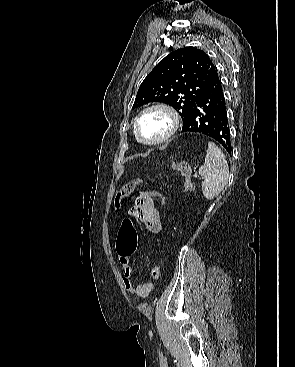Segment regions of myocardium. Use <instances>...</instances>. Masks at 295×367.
I'll return each mask as SVG.
<instances>
[{"instance_id":"f54148a6","label":"myocardium","mask_w":295,"mask_h":367,"mask_svg":"<svg viewBox=\"0 0 295 367\" xmlns=\"http://www.w3.org/2000/svg\"><path fill=\"white\" fill-rule=\"evenodd\" d=\"M152 111H161L165 113L170 120V128L167 131V133L163 135L162 137L155 139V140H146L142 138L139 132V123L144 115ZM179 126H180V118H179L178 113L171 106L167 104L156 103V104H152V105L145 107L138 113L134 121V134L137 140L141 142L142 144H145L148 146H157V145H161L171 140L177 133Z\"/></svg>"}]
</instances>
